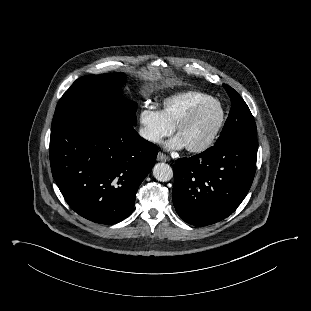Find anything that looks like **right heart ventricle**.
Returning a JSON list of instances; mask_svg holds the SVG:
<instances>
[{"instance_id": "right-heart-ventricle-1", "label": "right heart ventricle", "mask_w": 311, "mask_h": 311, "mask_svg": "<svg viewBox=\"0 0 311 311\" xmlns=\"http://www.w3.org/2000/svg\"><path fill=\"white\" fill-rule=\"evenodd\" d=\"M212 98L210 95L198 91L177 93L164 99L160 112L164 119L172 127H175L192 108Z\"/></svg>"}]
</instances>
